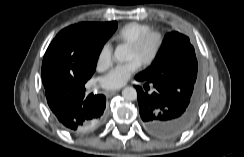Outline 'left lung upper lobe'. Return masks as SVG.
<instances>
[{
  "instance_id": "obj_1",
  "label": "left lung upper lobe",
  "mask_w": 244,
  "mask_h": 157,
  "mask_svg": "<svg viewBox=\"0 0 244 157\" xmlns=\"http://www.w3.org/2000/svg\"><path fill=\"white\" fill-rule=\"evenodd\" d=\"M138 76L158 81L166 90L190 101L198 109L203 86L195 51L187 36L179 32L167 34L162 52Z\"/></svg>"
}]
</instances>
